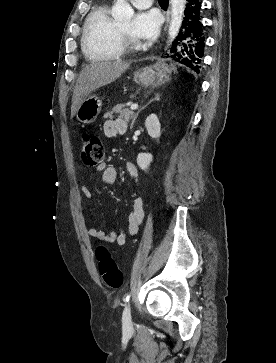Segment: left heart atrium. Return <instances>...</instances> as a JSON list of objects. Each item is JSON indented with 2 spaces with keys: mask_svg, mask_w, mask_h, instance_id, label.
<instances>
[{
  "mask_svg": "<svg viewBox=\"0 0 276 363\" xmlns=\"http://www.w3.org/2000/svg\"><path fill=\"white\" fill-rule=\"evenodd\" d=\"M161 18L154 10L137 12L131 23V35L139 41H151L158 35Z\"/></svg>",
  "mask_w": 276,
  "mask_h": 363,
  "instance_id": "1",
  "label": "left heart atrium"
}]
</instances>
